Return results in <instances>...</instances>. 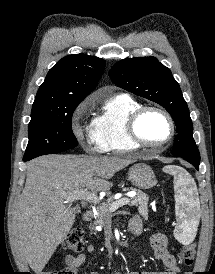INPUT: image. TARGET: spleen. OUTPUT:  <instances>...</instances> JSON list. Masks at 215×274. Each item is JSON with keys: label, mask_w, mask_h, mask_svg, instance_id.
I'll return each mask as SVG.
<instances>
[{"label": "spleen", "mask_w": 215, "mask_h": 274, "mask_svg": "<svg viewBox=\"0 0 215 274\" xmlns=\"http://www.w3.org/2000/svg\"><path fill=\"white\" fill-rule=\"evenodd\" d=\"M163 171L174 176L175 213L178 225L174 235L183 244L193 241L197 231V186L194 179L183 168L168 165Z\"/></svg>", "instance_id": "spleen-1"}]
</instances>
